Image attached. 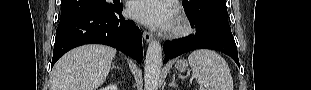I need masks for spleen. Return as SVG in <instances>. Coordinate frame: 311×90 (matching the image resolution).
<instances>
[{"label":"spleen","instance_id":"spleen-1","mask_svg":"<svg viewBox=\"0 0 311 90\" xmlns=\"http://www.w3.org/2000/svg\"><path fill=\"white\" fill-rule=\"evenodd\" d=\"M192 76L200 90H233V79L226 61L212 50H196L188 57Z\"/></svg>","mask_w":311,"mask_h":90}]
</instances>
